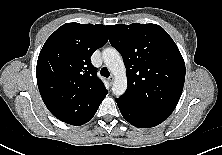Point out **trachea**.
I'll use <instances>...</instances> for the list:
<instances>
[{
	"instance_id": "3493384b",
	"label": "trachea",
	"mask_w": 222,
	"mask_h": 155,
	"mask_svg": "<svg viewBox=\"0 0 222 155\" xmlns=\"http://www.w3.org/2000/svg\"><path fill=\"white\" fill-rule=\"evenodd\" d=\"M101 75L104 77H109L110 76V72L108 71V69L106 67H103L100 71Z\"/></svg>"
}]
</instances>
